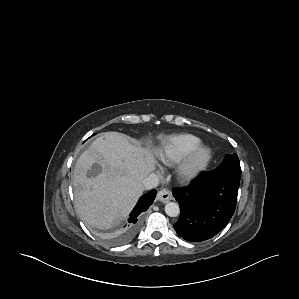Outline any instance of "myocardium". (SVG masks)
<instances>
[{
	"label": "myocardium",
	"instance_id": "obj_1",
	"mask_svg": "<svg viewBox=\"0 0 299 299\" xmlns=\"http://www.w3.org/2000/svg\"><path fill=\"white\" fill-rule=\"evenodd\" d=\"M212 149L206 145L197 147L183 162L179 169V177L183 181H192L206 170L211 159Z\"/></svg>",
	"mask_w": 299,
	"mask_h": 299
}]
</instances>
